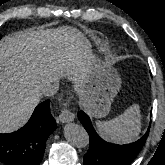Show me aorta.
I'll list each match as a JSON object with an SVG mask.
<instances>
[{
  "label": "aorta",
  "mask_w": 165,
  "mask_h": 165,
  "mask_svg": "<svg viewBox=\"0 0 165 165\" xmlns=\"http://www.w3.org/2000/svg\"><path fill=\"white\" fill-rule=\"evenodd\" d=\"M64 136L69 143L77 148L86 147L89 144V136L84 127L70 123L64 128Z\"/></svg>",
  "instance_id": "aorta-1"
}]
</instances>
